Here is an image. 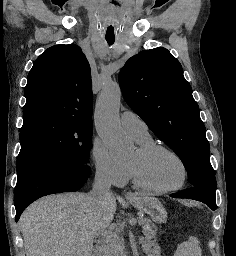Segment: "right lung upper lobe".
<instances>
[{
    "label": "right lung upper lobe",
    "instance_id": "cb5924a9",
    "mask_svg": "<svg viewBox=\"0 0 236 256\" xmlns=\"http://www.w3.org/2000/svg\"><path fill=\"white\" fill-rule=\"evenodd\" d=\"M27 81L23 121L50 116L92 122L91 71L77 45L48 48L35 61Z\"/></svg>",
    "mask_w": 236,
    "mask_h": 256
}]
</instances>
